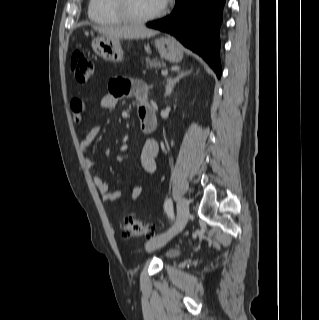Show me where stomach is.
Instances as JSON below:
<instances>
[{
    "label": "stomach",
    "instance_id": "1",
    "mask_svg": "<svg viewBox=\"0 0 319 320\" xmlns=\"http://www.w3.org/2000/svg\"><path fill=\"white\" fill-rule=\"evenodd\" d=\"M160 57L173 63H178L183 58V52L178 42L172 37H160L155 40ZM93 51L103 58L111 62H121L123 60V50L120 39L107 35H100L92 41Z\"/></svg>",
    "mask_w": 319,
    "mask_h": 320
}]
</instances>
